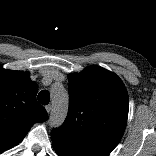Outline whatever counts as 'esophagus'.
Wrapping results in <instances>:
<instances>
[{"label": "esophagus", "mask_w": 156, "mask_h": 156, "mask_svg": "<svg viewBox=\"0 0 156 156\" xmlns=\"http://www.w3.org/2000/svg\"><path fill=\"white\" fill-rule=\"evenodd\" d=\"M45 109H46V111H47L48 113H50L51 110H52V106H51L50 104H48L47 106H45Z\"/></svg>", "instance_id": "esophagus-1"}]
</instances>
